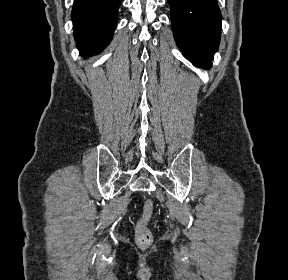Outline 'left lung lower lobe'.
<instances>
[{"instance_id": "obj_1", "label": "left lung lower lobe", "mask_w": 288, "mask_h": 280, "mask_svg": "<svg viewBox=\"0 0 288 280\" xmlns=\"http://www.w3.org/2000/svg\"><path fill=\"white\" fill-rule=\"evenodd\" d=\"M175 41L194 65L210 68L221 36L216 0H168Z\"/></svg>"}]
</instances>
